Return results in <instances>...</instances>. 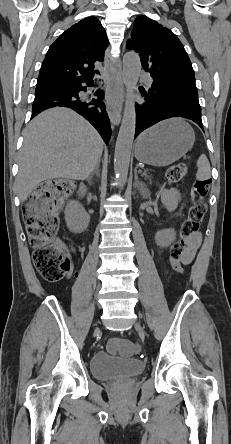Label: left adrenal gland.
I'll return each mask as SVG.
<instances>
[{"label": "left adrenal gland", "mask_w": 231, "mask_h": 444, "mask_svg": "<svg viewBox=\"0 0 231 444\" xmlns=\"http://www.w3.org/2000/svg\"><path fill=\"white\" fill-rule=\"evenodd\" d=\"M134 188H138L140 193L142 194L143 198H146L147 195V188L145 187L144 183L140 180H138V175L135 170V182H134Z\"/></svg>", "instance_id": "left-adrenal-gland-1"}]
</instances>
